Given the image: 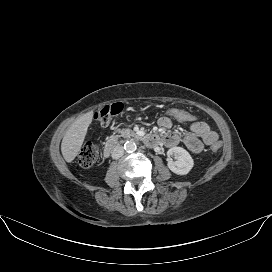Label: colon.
Wrapping results in <instances>:
<instances>
[{"label": "colon", "mask_w": 272, "mask_h": 272, "mask_svg": "<svg viewBox=\"0 0 272 272\" xmlns=\"http://www.w3.org/2000/svg\"><path fill=\"white\" fill-rule=\"evenodd\" d=\"M123 111V105L121 103H114L110 105H106L100 110H98L94 118L102 125H107L113 117L120 114ZM165 117L175 119L179 122H191L197 119L196 115L179 108H170L165 111ZM221 147L219 142H215L211 145V151L217 152ZM99 156V149L98 147L92 143L87 142L83 145L80 150L78 161L79 164L84 167L88 168L92 166L95 161L98 159Z\"/></svg>", "instance_id": "5ec220e1"}]
</instances>
